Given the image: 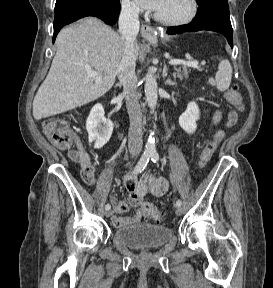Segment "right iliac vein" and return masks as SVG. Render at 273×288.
I'll list each match as a JSON object with an SVG mask.
<instances>
[{
	"label": "right iliac vein",
	"mask_w": 273,
	"mask_h": 288,
	"mask_svg": "<svg viewBox=\"0 0 273 288\" xmlns=\"http://www.w3.org/2000/svg\"><path fill=\"white\" fill-rule=\"evenodd\" d=\"M111 215H112V211L110 209L105 211L106 217H110Z\"/></svg>",
	"instance_id": "obj_1"
}]
</instances>
